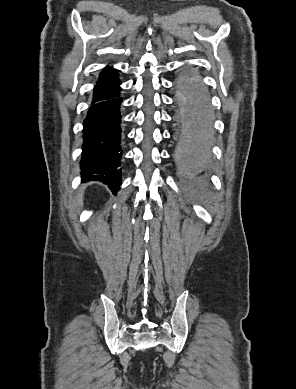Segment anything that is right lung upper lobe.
<instances>
[{
	"label": "right lung upper lobe",
	"mask_w": 296,
	"mask_h": 389,
	"mask_svg": "<svg viewBox=\"0 0 296 389\" xmlns=\"http://www.w3.org/2000/svg\"><path fill=\"white\" fill-rule=\"evenodd\" d=\"M120 84L121 81L115 69L112 67L103 69L94 88L93 99L101 98L116 91L120 87Z\"/></svg>",
	"instance_id": "1"
}]
</instances>
